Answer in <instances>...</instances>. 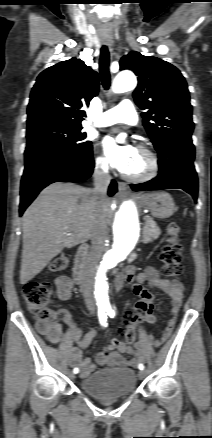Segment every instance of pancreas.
<instances>
[{
	"instance_id": "1",
	"label": "pancreas",
	"mask_w": 212,
	"mask_h": 438,
	"mask_svg": "<svg viewBox=\"0 0 212 438\" xmlns=\"http://www.w3.org/2000/svg\"><path fill=\"white\" fill-rule=\"evenodd\" d=\"M144 219L145 225L143 227V243L147 244L157 239L161 234V230L152 218L145 217Z\"/></svg>"
}]
</instances>
